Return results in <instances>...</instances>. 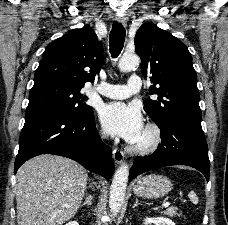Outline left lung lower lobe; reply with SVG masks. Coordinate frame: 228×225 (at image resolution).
<instances>
[{"label": "left lung lower lobe", "instance_id": "0a47b994", "mask_svg": "<svg viewBox=\"0 0 228 225\" xmlns=\"http://www.w3.org/2000/svg\"><path fill=\"white\" fill-rule=\"evenodd\" d=\"M159 128L162 142L153 154L134 159L129 181L146 171L171 165L191 166L202 172L208 181L210 163L201 121L172 118Z\"/></svg>", "mask_w": 228, "mask_h": 225}]
</instances>
